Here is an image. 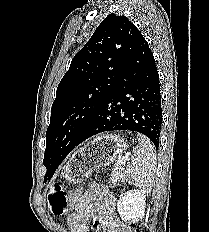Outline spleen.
Here are the masks:
<instances>
[{
	"label": "spleen",
	"instance_id": "3e777b00",
	"mask_svg": "<svg viewBox=\"0 0 209 232\" xmlns=\"http://www.w3.org/2000/svg\"><path fill=\"white\" fill-rule=\"evenodd\" d=\"M137 139L139 144L133 149L134 158L126 166L125 173L133 185L150 192L156 173V153L147 137L138 134Z\"/></svg>",
	"mask_w": 209,
	"mask_h": 232
}]
</instances>
